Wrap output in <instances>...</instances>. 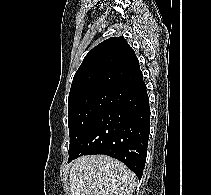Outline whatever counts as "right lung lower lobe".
Here are the masks:
<instances>
[{
  "instance_id": "1",
  "label": "right lung lower lobe",
  "mask_w": 211,
  "mask_h": 195,
  "mask_svg": "<svg viewBox=\"0 0 211 195\" xmlns=\"http://www.w3.org/2000/svg\"><path fill=\"white\" fill-rule=\"evenodd\" d=\"M149 132V98L141 78L113 90L105 107L69 153L68 162L82 155L104 154L123 162L140 180Z\"/></svg>"
}]
</instances>
